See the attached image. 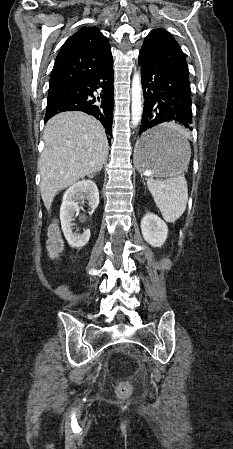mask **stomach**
Here are the masks:
<instances>
[{"instance_id":"1","label":"stomach","mask_w":233,"mask_h":449,"mask_svg":"<svg viewBox=\"0 0 233 449\" xmlns=\"http://www.w3.org/2000/svg\"><path fill=\"white\" fill-rule=\"evenodd\" d=\"M189 157L190 147L183 133L164 124L143 133L135 146L134 164L143 173L171 176L187 165Z\"/></svg>"}]
</instances>
